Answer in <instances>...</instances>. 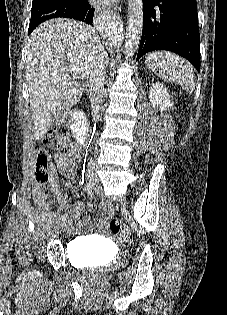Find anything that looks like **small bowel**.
<instances>
[{
  "mask_svg": "<svg viewBox=\"0 0 227 315\" xmlns=\"http://www.w3.org/2000/svg\"><path fill=\"white\" fill-rule=\"evenodd\" d=\"M80 158L81 150L78 146H73L67 154L55 155L54 160L58 173L62 176H69L71 174V168L78 163ZM58 179V174H54L50 180L49 187L55 198L58 201H63V194L60 190ZM32 192L34 199L40 208L47 209L50 207L51 204L47 199L42 185L37 183L33 184ZM100 207L103 210L106 219H108L112 214L111 205L108 203H103L100 205ZM69 211L75 215H82L84 214V207L80 203H75L69 208Z\"/></svg>",
  "mask_w": 227,
  "mask_h": 315,
  "instance_id": "1",
  "label": "small bowel"
}]
</instances>
